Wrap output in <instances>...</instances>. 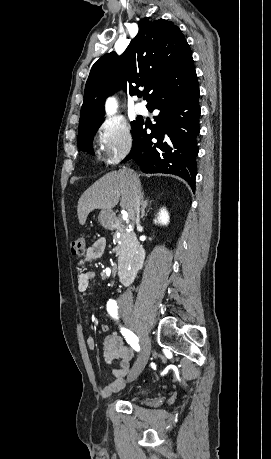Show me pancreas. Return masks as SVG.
Returning a JSON list of instances; mask_svg holds the SVG:
<instances>
[{"instance_id":"pancreas-1","label":"pancreas","mask_w":271,"mask_h":459,"mask_svg":"<svg viewBox=\"0 0 271 459\" xmlns=\"http://www.w3.org/2000/svg\"><path fill=\"white\" fill-rule=\"evenodd\" d=\"M119 233L120 237H117V233H115L114 235V239H118V241H121V243H118V245H116L115 249L119 257H125V255L130 253V249H132L129 239V233H124V231H119Z\"/></svg>"}]
</instances>
